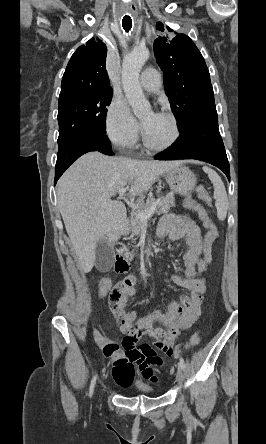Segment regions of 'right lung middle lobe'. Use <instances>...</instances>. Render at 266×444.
Segmentation results:
<instances>
[{
  "mask_svg": "<svg viewBox=\"0 0 266 444\" xmlns=\"http://www.w3.org/2000/svg\"><path fill=\"white\" fill-rule=\"evenodd\" d=\"M112 90L96 91L59 100L58 153L90 134L106 133V106Z\"/></svg>",
  "mask_w": 266,
  "mask_h": 444,
  "instance_id": "right-lung-middle-lobe-1",
  "label": "right lung middle lobe"
}]
</instances>
